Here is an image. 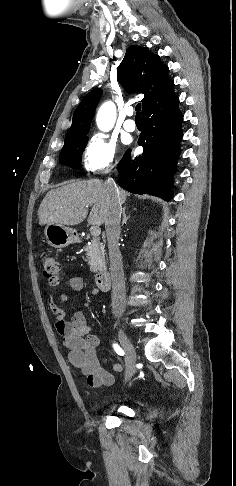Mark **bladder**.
<instances>
[{
    "instance_id": "bladder-1",
    "label": "bladder",
    "mask_w": 236,
    "mask_h": 486,
    "mask_svg": "<svg viewBox=\"0 0 236 486\" xmlns=\"http://www.w3.org/2000/svg\"><path fill=\"white\" fill-rule=\"evenodd\" d=\"M114 410L118 413L128 415V414H130L132 409L127 405H118L114 408Z\"/></svg>"
}]
</instances>
